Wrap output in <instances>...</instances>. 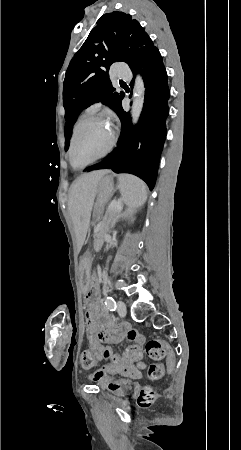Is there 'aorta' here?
Instances as JSON below:
<instances>
[{
  "mask_svg": "<svg viewBox=\"0 0 241 450\" xmlns=\"http://www.w3.org/2000/svg\"><path fill=\"white\" fill-rule=\"evenodd\" d=\"M145 87L143 79L140 75L135 78L133 87V103L131 109L132 123L136 124L139 121L143 104H144Z\"/></svg>",
  "mask_w": 241,
  "mask_h": 450,
  "instance_id": "762f6f07",
  "label": "aorta"
}]
</instances>
